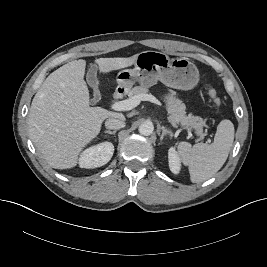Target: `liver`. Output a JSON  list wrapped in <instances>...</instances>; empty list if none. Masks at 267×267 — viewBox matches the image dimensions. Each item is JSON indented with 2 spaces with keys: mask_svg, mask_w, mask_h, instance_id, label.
I'll return each instance as SVG.
<instances>
[{
  "mask_svg": "<svg viewBox=\"0 0 267 267\" xmlns=\"http://www.w3.org/2000/svg\"><path fill=\"white\" fill-rule=\"evenodd\" d=\"M129 58H99L103 74L134 64ZM85 61L74 60L52 72L35 94L28 119L29 134L38 152L56 169L77 165L78 156L100 132L106 118L123 114L89 106L84 81Z\"/></svg>",
  "mask_w": 267,
  "mask_h": 267,
  "instance_id": "liver-1",
  "label": "liver"
}]
</instances>
